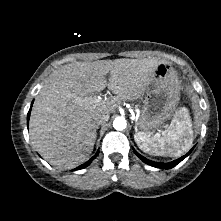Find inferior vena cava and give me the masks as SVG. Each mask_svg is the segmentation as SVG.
Listing matches in <instances>:
<instances>
[{"label":"inferior vena cava","mask_w":221,"mask_h":221,"mask_svg":"<svg viewBox=\"0 0 221 221\" xmlns=\"http://www.w3.org/2000/svg\"><path fill=\"white\" fill-rule=\"evenodd\" d=\"M109 120V115L103 113H96L93 117L95 126L104 124Z\"/></svg>","instance_id":"602c4592"}]
</instances>
